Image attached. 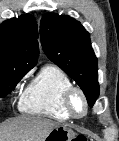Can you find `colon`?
Listing matches in <instances>:
<instances>
[{"mask_svg": "<svg viewBox=\"0 0 119 141\" xmlns=\"http://www.w3.org/2000/svg\"><path fill=\"white\" fill-rule=\"evenodd\" d=\"M73 141H85V137L84 136H77Z\"/></svg>", "mask_w": 119, "mask_h": 141, "instance_id": "obj_1", "label": "colon"}]
</instances>
